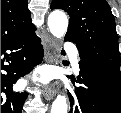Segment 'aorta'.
<instances>
[{
  "mask_svg": "<svg viewBox=\"0 0 121 113\" xmlns=\"http://www.w3.org/2000/svg\"><path fill=\"white\" fill-rule=\"evenodd\" d=\"M48 27L53 36L64 37L68 28V19L64 12L55 10L48 17ZM51 113H67V101L63 95H58L54 100Z\"/></svg>",
  "mask_w": 121,
  "mask_h": 113,
  "instance_id": "762f6f07",
  "label": "aorta"
}]
</instances>
